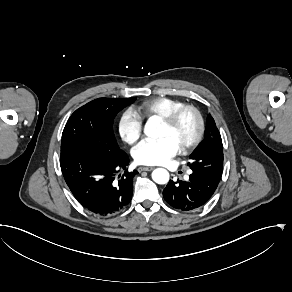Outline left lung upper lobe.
Segmentation results:
<instances>
[{"instance_id": "1", "label": "left lung upper lobe", "mask_w": 292, "mask_h": 292, "mask_svg": "<svg viewBox=\"0 0 292 292\" xmlns=\"http://www.w3.org/2000/svg\"><path fill=\"white\" fill-rule=\"evenodd\" d=\"M189 159L188 165L193 173L220 180L223 167V145L212 116L207 117L204 140L189 156Z\"/></svg>"}]
</instances>
